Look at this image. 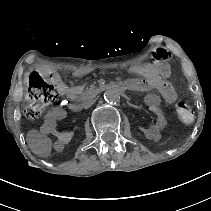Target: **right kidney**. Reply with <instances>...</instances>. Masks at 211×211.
<instances>
[{
    "label": "right kidney",
    "instance_id": "1",
    "mask_svg": "<svg viewBox=\"0 0 211 211\" xmlns=\"http://www.w3.org/2000/svg\"><path fill=\"white\" fill-rule=\"evenodd\" d=\"M66 112L61 108L51 109L46 117V124L53 136L64 145H69L72 142L70 132L64 131L59 122L65 120Z\"/></svg>",
    "mask_w": 211,
    "mask_h": 211
}]
</instances>
